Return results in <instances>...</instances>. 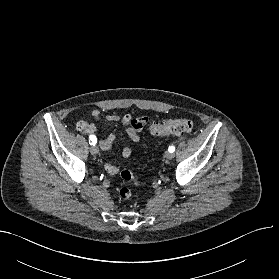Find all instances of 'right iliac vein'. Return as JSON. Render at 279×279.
<instances>
[{
  "label": "right iliac vein",
  "mask_w": 279,
  "mask_h": 279,
  "mask_svg": "<svg viewBox=\"0 0 279 279\" xmlns=\"http://www.w3.org/2000/svg\"><path fill=\"white\" fill-rule=\"evenodd\" d=\"M90 152L92 155H97L99 153V149L97 146L94 145V146H91Z\"/></svg>",
  "instance_id": "obj_1"
}]
</instances>
